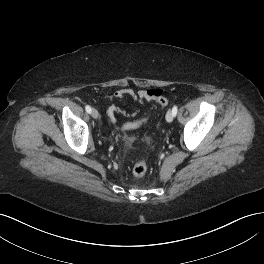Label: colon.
<instances>
[{
	"label": "colon",
	"instance_id": "1",
	"mask_svg": "<svg viewBox=\"0 0 264 264\" xmlns=\"http://www.w3.org/2000/svg\"><path fill=\"white\" fill-rule=\"evenodd\" d=\"M155 102H156V105L160 108L165 107L167 105V99L163 96L157 98ZM145 122H146V119H140V120H136L133 122H128L124 125V130L129 131V130L137 129L141 125H143ZM146 143L149 145L150 140L147 139ZM147 167H148L147 161L145 159L138 161L137 163H135V165L132 168L133 176L137 178L144 176L147 172Z\"/></svg>",
	"mask_w": 264,
	"mask_h": 264
}]
</instances>
